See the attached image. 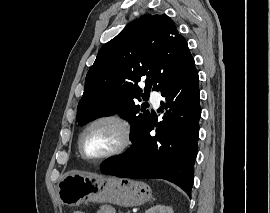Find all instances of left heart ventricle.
I'll return each mask as SVG.
<instances>
[{
  "instance_id": "obj_1",
  "label": "left heart ventricle",
  "mask_w": 270,
  "mask_h": 213,
  "mask_svg": "<svg viewBox=\"0 0 270 213\" xmlns=\"http://www.w3.org/2000/svg\"><path fill=\"white\" fill-rule=\"evenodd\" d=\"M121 139V131L115 124L99 123L86 132L83 149L88 156L97 158L116 148Z\"/></svg>"
}]
</instances>
